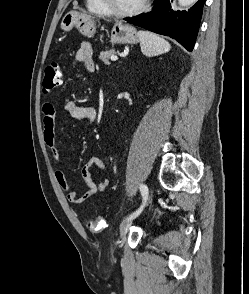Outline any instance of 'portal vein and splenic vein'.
<instances>
[{
    "label": "portal vein and splenic vein",
    "mask_w": 249,
    "mask_h": 294,
    "mask_svg": "<svg viewBox=\"0 0 249 294\" xmlns=\"http://www.w3.org/2000/svg\"><path fill=\"white\" fill-rule=\"evenodd\" d=\"M111 61H116V60H118V57L117 56H111Z\"/></svg>",
    "instance_id": "portal-vein-and-splenic-vein-1"
}]
</instances>
